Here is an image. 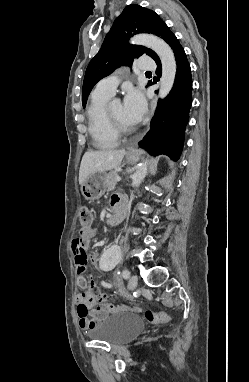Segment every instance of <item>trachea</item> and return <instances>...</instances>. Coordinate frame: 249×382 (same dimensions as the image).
Returning <instances> with one entry per match:
<instances>
[{
	"label": "trachea",
	"instance_id": "1",
	"mask_svg": "<svg viewBox=\"0 0 249 382\" xmlns=\"http://www.w3.org/2000/svg\"><path fill=\"white\" fill-rule=\"evenodd\" d=\"M146 74H151V72H146Z\"/></svg>",
	"mask_w": 249,
	"mask_h": 382
}]
</instances>
